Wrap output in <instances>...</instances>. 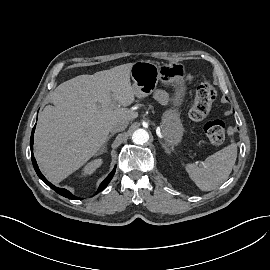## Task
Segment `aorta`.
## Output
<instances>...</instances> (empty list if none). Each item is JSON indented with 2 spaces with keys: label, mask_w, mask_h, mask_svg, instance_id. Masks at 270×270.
<instances>
[{
  "label": "aorta",
  "mask_w": 270,
  "mask_h": 270,
  "mask_svg": "<svg viewBox=\"0 0 270 270\" xmlns=\"http://www.w3.org/2000/svg\"><path fill=\"white\" fill-rule=\"evenodd\" d=\"M132 140L135 144L143 145L149 140V134L144 129H137L132 135Z\"/></svg>",
  "instance_id": "762f6f07"
}]
</instances>
